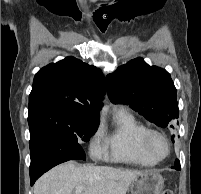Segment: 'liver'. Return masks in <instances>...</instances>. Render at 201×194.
I'll use <instances>...</instances> for the list:
<instances>
[{
	"label": "liver",
	"instance_id": "1",
	"mask_svg": "<svg viewBox=\"0 0 201 194\" xmlns=\"http://www.w3.org/2000/svg\"><path fill=\"white\" fill-rule=\"evenodd\" d=\"M142 173L67 162L40 177L34 185V194H75L77 186L84 187L80 194H126L131 182Z\"/></svg>",
	"mask_w": 201,
	"mask_h": 194
}]
</instances>
